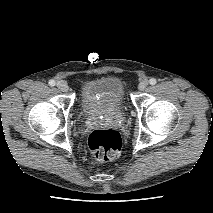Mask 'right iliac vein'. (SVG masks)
<instances>
[{"mask_svg": "<svg viewBox=\"0 0 213 213\" xmlns=\"http://www.w3.org/2000/svg\"><path fill=\"white\" fill-rule=\"evenodd\" d=\"M57 87L62 92H67L69 90L68 84L66 82H63V81L57 82Z\"/></svg>", "mask_w": 213, "mask_h": 213, "instance_id": "obj_1", "label": "right iliac vein"}]
</instances>
